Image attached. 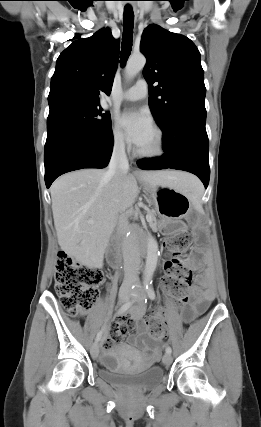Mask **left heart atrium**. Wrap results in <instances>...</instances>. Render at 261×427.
<instances>
[{"instance_id":"obj_1","label":"left heart atrium","mask_w":261,"mask_h":427,"mask_svg":"<svg viewBox=\"0 0 261 427\" xmlns=\"http://www.w3.org/2000/svg\"><path fill=\"white\" fill-rule=\"evenodd\" d=\"M127 140L137 148L142 146L153 131L150 117L144 111L130 110L118 117Z\"/></svg>"}]
</instances>
